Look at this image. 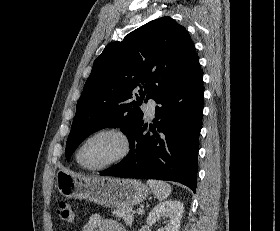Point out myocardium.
<instances>
[{
  "mask_svg": "<svg viewBox=\"0 0 280 231\" xmlns=\"http://www.w3.org/2000/svg\"><path fill=\"white\" fill-rule=\"evenodd\" d=\"M104 133H113L118 135L122 142H123V150L121 152V154L115 158L114 160H112L111 162L101 166V167H96V168H89L86 167L85 165H83V163L81 162V152L84 148V146L86 145V143L93 137L100 135V134H104ZM131 148H132V143H131V139L129 134L120 127L117 126H108V127H104L101 128L93 133H91L89 136H87L83 142L81 143V145L79 146L77 152H76V162L78 164V166L83 169L84 171H88V172H97V171H103L107 168H110L114 165H117L119 163H121L122 161H124L128 155L131 152Z\"/></svg>",
  "mask_w": 280,
  "mask_h": 231,
  "instance_id": "myocardium-1",
  "label": "myocardium"
}]
</instances>
